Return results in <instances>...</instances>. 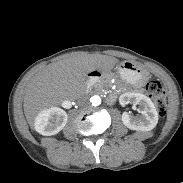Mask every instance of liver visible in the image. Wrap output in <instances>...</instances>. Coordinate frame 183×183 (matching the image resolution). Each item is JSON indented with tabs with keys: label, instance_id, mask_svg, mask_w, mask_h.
I'll return each instance as SVG.
<instances>
[{
	"label": "liver",
	"instance_id": "6515ba94",
	"mask_svg": "<svg viewBox=\"0 0 183 183\" xmlns=\"http://www.w3.org/2000/svg\"><path fill=\"white\" fill-rule=\"evenodd\" d=\"M118 59L101 54H77L47 65L28 82L24 91V113L33 127L37 115L46 108L60 105L83 89L86 76L94 70L107 71Z\"/></svg>",
	"mask_w": 183,
	"mask_h": 183
}]
</instances>
